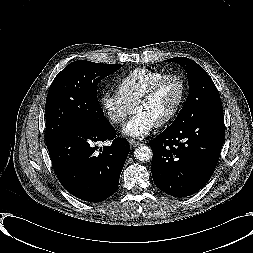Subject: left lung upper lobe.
<instances>
[{"instance_id": "obj_1", "label": "left lung upper lobe", "mask_w": 253, "mask_h": 253, "mask_svg": "<svg viewBox=\"0 0 253 253\" xmlns=\"http://www.w3.org/2000/svg\"><path fill=\"white\" fill-rule=\"evenodd\" d=\"M169 60L177 62L185 68L189 79L187 100L170 126L223 109L216 86L199 64L186 57H174Z\"/></svg>"}]
</instances>
